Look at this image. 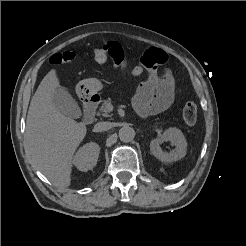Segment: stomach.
<instances>
[{"mask_svg":"<svg viewBox=\"0 0 246 246\" xmlns=\"http://www.w3.org/2000/svg\"><path fill=\"white\" fill-rule=\"evenodd\" d=\"M102 83L96 78H88L80 81L76 90L80 96L91 97L102 89Z\"/></svg>","mask_w":246,"mask_h":246,"instance_id":"stomach-1","label":"stomach"}]
</instances>
